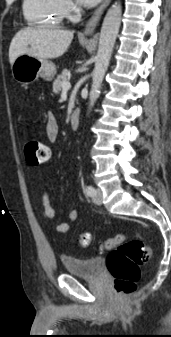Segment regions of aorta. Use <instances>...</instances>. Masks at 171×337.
I'll list each match as a JSON object with an SVG mask.
<instances>
[{
    "label": "aorta",
    "mask_w": 171,
    "mask_h": 337,
    "mask_svg": "<svg viewBox=\"0 0 171 337\" xmlns=\"http://www.w3.org/2000/svg\"><path fill=\"white\" fill-rule=\"evenodd\" d=\"M121 15V3L115 2L108 10L102 24L96 62L92 72V86L89 97L90 110L94 106L100 94L103 78L109 66L112 51L119 32Z\"/></svg>",
    "instance_id": "obj_1"
}]
</instances>
